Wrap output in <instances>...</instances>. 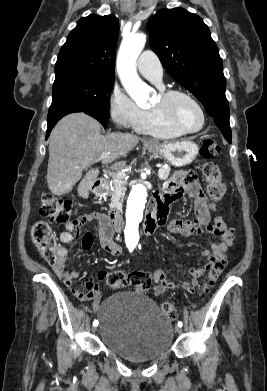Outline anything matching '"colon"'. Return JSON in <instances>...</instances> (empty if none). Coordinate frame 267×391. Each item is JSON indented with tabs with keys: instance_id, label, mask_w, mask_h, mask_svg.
<instances>
[{
	"instance_id": "1",
	"label": "colon",
	"mask_w": 267,
	"mask_h": 391,
	"mask_svg": "<svg viewBox=\"0 0 267 391\" xmlns=\"http://www.w3.org/2000/svg\"><path fill=\"white\" fill-rule=\"evenodd\" d=\"M220 152V147L214 139H204L201 146V155L205 160L202 165V173L206 182L207 193L215 207L225 196L226 186L222 180L220 167L211 159ZM75 204L71 200L57 198L51 194H44L41 200L40 214L56 223L70 221ZM31 239L39 249L43 258L49 265H54L58 260L57 244L51 226L46 221L36 222L31 229ZM227 259L222 256L210 268L204 283L203 291H207L220 277ZM108 285L113 290L123 286H131L140 293H147L151 286V274L145 271H134L129 274L112 273L108 277ZM162 311L170 319L177 318L178 312L172 303H163Z\"/></svg>"
}]
</instances>
